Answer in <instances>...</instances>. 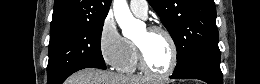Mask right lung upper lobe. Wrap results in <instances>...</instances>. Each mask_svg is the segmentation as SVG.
Segmentation results:
<instances>
[{"instance_id":"obj_1","label":"right lung upper lobe","mask_w":260,"mask_h":84,"mask_svg":"<svg viewBox=\"0 0 260 84\" xmlns=\"http://www.w3.org/2000/svg\"><path fill=\"white\" fill-rule=\"evenodd\" d=\"M111 0H55L50 33L84 21L102 20Z\"/></svg>"}]
</instances>
